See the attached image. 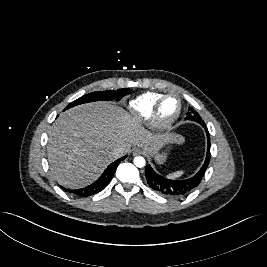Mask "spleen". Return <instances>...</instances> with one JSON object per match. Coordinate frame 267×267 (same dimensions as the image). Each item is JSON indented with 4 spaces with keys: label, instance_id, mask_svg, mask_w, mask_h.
<instances>
[{
    "label": "spleen",
    "instance_id": "1",
    "mask_svg": "<svg viewBox=\"0 0 267 267\" xmlns=\"http://www.w3.org/2000/svg\"><path fill=\"white\" fill-rule=\"evenodd\" d=\"M184 171H176L168 175V178L175 179L183 175Z\"/></svg>",
    "mask_w": 267,
    "mask_h": 267
}]
</instances>
